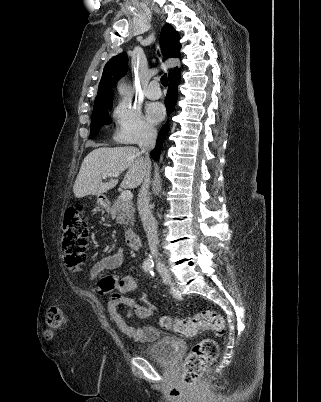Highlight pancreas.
<instances>
[{
  "mask_svg": "<svg viewBox=\"0 0 321 402\" xmlns=\"http://www.w3.org/2000/svg\"><path fill=\"white\" fill-rule=\"evenodd\" d=\"M135 208L131 200H123L118 197L113 206L110 208V214L112 218H116L118 224H124L131 226L134 223Z\"/></svg>",
  "mask_w": 321,
  "mask_h": 402,
  "instance_id": "obj_1",
  "label": "pancreas"
}]
</instances>
